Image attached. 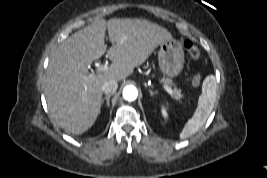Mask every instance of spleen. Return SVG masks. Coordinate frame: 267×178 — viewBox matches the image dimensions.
I'll return each mask as SVG.
<instances>
[{
  "label": "spleen",
  "instance_id": "3e777b00",
  "mask_svg": "<svg viewBox=\"0 0 267 178\" xmlns=\"http://www.w3.org/2000/svg\"><path fill=\"white\" fill-rule=\"evenodd\" d=\"M216 89L214 76H208L203 81L202 93L198 99V106L179 135L181 140L194 135L205 124L214 106Z\"/></svg>",
  "mask_w": 267,
  "mask_h": 178
}]
</instances>
